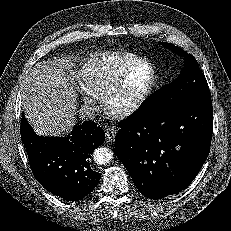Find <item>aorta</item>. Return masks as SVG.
<instances>
[{
    "mask_svg": "<svg viewBox=\"0 0 231 231\" xmlns=\"http://www.w3.org/2000/svg\"><path fill=\"white\" fill-rule=\"evenodd\" d=\"M93 157L97 164L103 165L108 164L111 161L113 153L109 148L100 147L95 149L93 152Z\"/></svg>",
    "mask_w": 231,
    "mask_h": 231,
    "instance_id": "1",
    "label": "aorta"
}]
</instances>
